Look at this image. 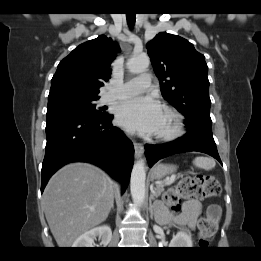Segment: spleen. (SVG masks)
<instances>
[{
  "label": "spleen",
  "mask_w": 261,
  "mask_h": 261,
  "mask_svg": "<svg viewBox=\"0 0 261 261\" xmlns=\"http://www.w3.org/2000/svg\"><path fill=\"white\" fill-rule=\"evenodd\" d=\"M194 166L197 168L211 170L215 167L216 163L215 160L209 157L198 156L193 160Z\"/></svg>",
  "instance_id": "1"
}]
</instances>
